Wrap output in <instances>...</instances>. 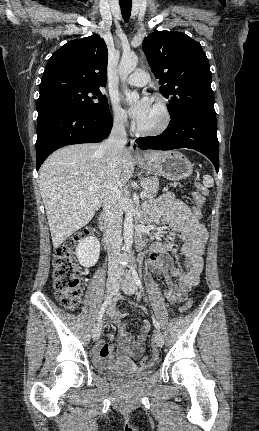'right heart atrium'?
<instances>
[{
  "instance_id": "1",
  "label": "right heart atrium",
  "mask_w": 259,
  "mask_h": 431,
  "mask_svg": "<svg viewBox=\"0 0 259 431\" xmlns=\"http://www.w3.org/2000/svg\"><path fill=\"white\" fill-rule=\"evenodd\" d=\"M112 122L118 128H124L127 124V116L116 102H112Z\"/></svg>"
}]
</instances>
